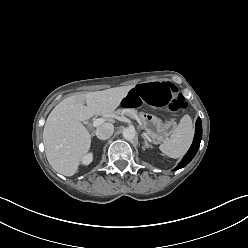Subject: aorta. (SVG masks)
<instances>
[{
	"label": "aorta",
	"instance_id": "762f6f07",
	"mask_svg": "<svg viewBox=\"0 0 248 248\" xmlns=\"http://www.w3.org/2000/svg\"><path fill=\"white\" fill-rule=\"evenodd\" d=\"M123 137L126 139V140H128V141H130V140H133L134 138H135V136H136V131H135V129L134 128H131V127H128V128H125L124 130H123Z\"/></svg>",
	"mask_w": 248,
	"mask_h": 248
}]
</instances>
